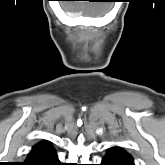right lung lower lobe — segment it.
<instances>
[{"label":"right lung lower lobe","instance_id":"98d812e1","mask_svg":"<svg viewBox=\"0 0 165 165\" xmlns=\"http://www.w3.org/2000/svg\"><path fill=\"white\" fill-rule=\"evenodd\" d=\"M54 149L47 142L33 147L24 165H61Z\"/></svg>","mask_w":165,"mask_h":165}]
</instances>
